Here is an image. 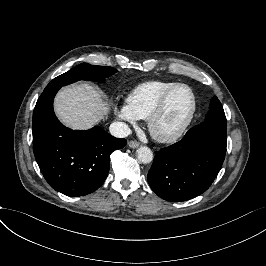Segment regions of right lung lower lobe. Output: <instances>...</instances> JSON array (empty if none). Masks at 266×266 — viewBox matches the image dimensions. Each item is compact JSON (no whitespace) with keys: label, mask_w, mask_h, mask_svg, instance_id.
<instances>
[{"label":"right lung lower lobe","mask_w":266,"mask_h":266,"mask_svg":"<svg viewBox=\"0 0 266 266\" xmlns=\"http://www.w3.org/2000/svg\"><path fill=\"white\" fill-rule=\"evenodd\" d=\"M60 87L45 90L33 112V151L49 185L67 196H84L105 181L110 154L123 148L126 139L115 138L103 128L71 130L54 114L53 100Z\"/></svg>","instance_id":"right-lung-lower-lobe-1"}]
</instances>
